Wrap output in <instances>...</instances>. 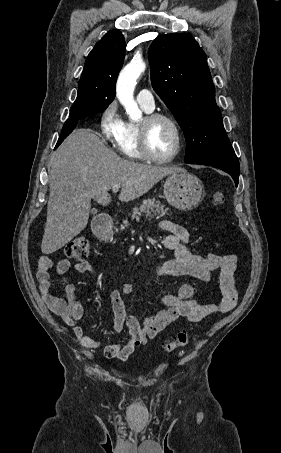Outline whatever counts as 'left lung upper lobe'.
<instances>
[{
	"instance_id": "1",
	"label": "left lung upper lobe",
	"mask_w": 281,
	"mask_h": 453,
	"mask_svg": "<svg viewBox=\"0 0 281 453\" xmlns=\"http://www.w3.org/2000/svg\"><path fill=\"white\" fill-rule=\"evenodd\" d=\"M149 60L152 86L184 132L185 162L234 155L197 41L184 33L160 35L149 48Z\"/></svg>"
}]
</instances>
